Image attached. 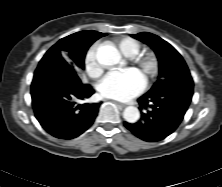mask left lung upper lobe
I'll list each match as a JSON object with an SVG mask.
<instances>
[{"label": "left lung upper lobe", "instance_id": "obj_1", "mask_svg": "<svg viewBox=\"0 0 222 187\" xmlns=\"http://www.w3.org/2000/svg\"><path fill=\"white\" fill-rule=\"evenodd\" d=\"M133 37L148 44L156 53L159 62L157 82L146 94L165 92L175 99L181 93L182 84L192 81L189 69L178 51L159 36L149 32L134 34Z\"/></svg>", "mask_w": 222, "mask_h": 187}]
</instances>
